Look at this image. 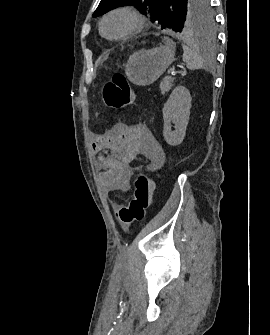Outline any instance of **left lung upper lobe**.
<instances>
[{
    "label": "left lung upper lobe",
    "mask_w": 270,
    "mask_h": 335,
    "mask_svg": "<svg viewBox=\"0 0 270 335\" xmlns=\"http://www.w3.org/2000/svg\"><path fill=\"white\" fill-rule=\"evenodd\" d=\"M121 6H134L141 13L150 14L152 21L165 30L193 33L209 31L214 26L210 0H101L92 17Z\"/></svg>",
    "instance_id": "obj_1"
}]
</instances>
